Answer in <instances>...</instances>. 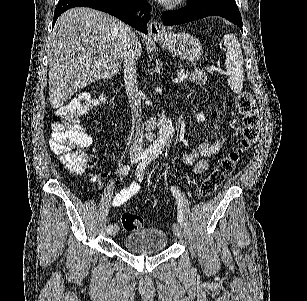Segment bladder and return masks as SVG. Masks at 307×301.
Segmentation results:
<instances>
[{"instance_id": "31cf9c89", "label": "bladder", "mask_w": 307, "mask_h": 301, "mask_svg": "<svg viewBox=\"0 0 307 301\" xmlns=\"http://www.w3.org/2000/svg\"><path fill=\"white\" fill-rule=\"evenodd\" d=\"M126 250L148 254L164 251L168 244L165 231L147 228L129 233L122 241Z\"/></svg>"}]
</instances>
